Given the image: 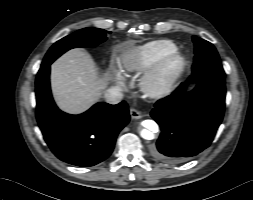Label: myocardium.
<instances>
[{
    "mask_svg": "<svg viewBox=\"0 0 253 200\" xmlns=\"http://www.w3.org/2000/svg\"><path fill=\"white\" fill-rule=\"evenodd\" d=\"M171 61H176V68L166 72ZM187 67L186 57L178 50L161 56L145 73L141 80L142 91L150 98H160L167 95L182 77Z\"/></svg>",
    "mask_w": 253,
    "mask_h": 200,
    "instance_id": "obj_1",
    "label": "myocardium"
}]
</instances>
